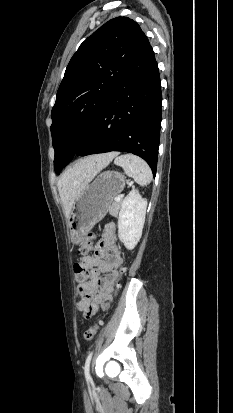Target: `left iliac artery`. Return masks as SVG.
<instances>
[{"instance_id": "left-iliac-artery-1", "label": "left iliac artery", "mask_w": 233, "mask_h": 413, "mask_svg": "<svg viewBox=\"0 0 233 413\" xmlns=\"http://www.w3.org/2000/svg\"><path fill=\"white\" fill-rule=\"evenodd\" d=\"M92 354H93V352L91 351L89 353V355L87 356V358H86V362H85V366H84V374H85V378H86L87 381H91L90 362H91Z\"/></svg>"}]
</instances>
